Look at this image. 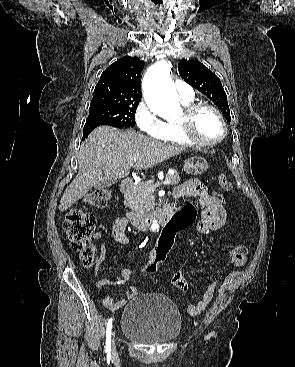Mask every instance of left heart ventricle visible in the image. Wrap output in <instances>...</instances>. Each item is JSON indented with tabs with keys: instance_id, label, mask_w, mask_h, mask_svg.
<instances>
[{
	"instance_id": "1",
	"label": "left heart ventricle",
	"mask_w": 295,
	"mask_h": 367,
	"mask_svg": "<svg viewBox=\"0 0 295 367\" xmlns=\"http://www.w3.org/2000/svg\"><path fill=\"white\" fill-rule=\"evenodd\" d=\"M195 131L200 139L213 141L221 136L222 126L214 112L202 109L195 118Z\"/></svg>"
}]
</instances>
